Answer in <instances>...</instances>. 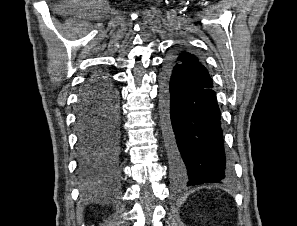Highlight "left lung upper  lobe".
Listing matches in <instances>:
<instances>
[{
  "label": "left lung upper lobe",
  "mask_w": 297,
  "mask_h": 226,
  "mask_svg": "<svg viewBox=\"0 0 297 226\" xmlns=\"http://www.w3.org/2000/svg\"><path fill=\"white\" fill-rule=\"evenodd\" d=\"M170 60L173 72L190 87L197 89L213 87L208 71L193 54L181 52L172 56Z\"/></svg>",
  "instance_id": "left-lung-upper-lobe-1"
}]
</instances>
